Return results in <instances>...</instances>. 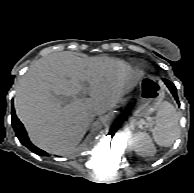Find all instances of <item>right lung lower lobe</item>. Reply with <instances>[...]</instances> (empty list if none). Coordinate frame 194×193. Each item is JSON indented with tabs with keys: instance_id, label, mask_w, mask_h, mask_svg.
Wrapping results in <instances>:
<instances>
[{
	"instance_id": "obj_1",
	"label": "right lung lower lobe",
	"mask_w": 194,
	"mask_h": 193,
	"mask_svg": "<svg viewBox=\"0 0 194 193\" xmlns=\"http://www.w3.org/2000/svg\"><path fill=\"white\" fill-rule=\"evenodd\" d=\"M12 125L18 139L24 146H26L28 149H30L32 152H34L37 155L48 156V153L34 146L30 142V140L28 139L27 133L23 127V124L19 121V119L15 115V111L13 107H12Z\"/></svg>"
}]
</instances>
